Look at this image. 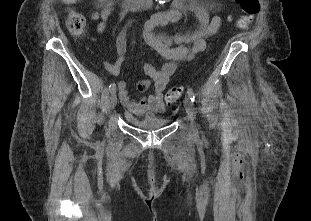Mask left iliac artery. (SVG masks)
<instances>
[{"instance_id": "1", "label": "left iliac artery", "mask_w": 311, "mask_h": 221, "mask_svg": "<svg viewBox=\"0 0 311 221\" xmlns=\"http://www.w3.org/2000/svg\"><path fill=\"white\" fill-rule=\"evenodd\" d=\"M187 93H188L191 101L194 102L195 101V93H194L193 89L192 88H188Z\"/></svg>"}]
</instances>
